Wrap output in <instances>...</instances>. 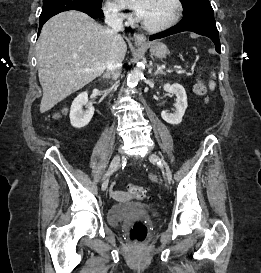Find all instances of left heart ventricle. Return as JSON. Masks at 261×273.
Returning <instances> with one entry per match:
<instances>
[{"label":"left heart ventricle","instance_id":"obj_1","mask_svg":"<svg viewBox=\"0 0 261 273\" xmlns=\"http://www.w3.org/2000/svg\"><path fill=\"white\" fill-rule=\"evenodd\" d=\"M174 5L171 0H149L143 23L160 25L167 22L173 15Z\"/></svg>","mask_w":261,"mask_h":273}]
</instances>
